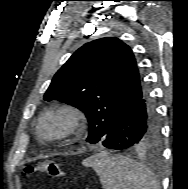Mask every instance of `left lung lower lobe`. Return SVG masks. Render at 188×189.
<instances>
[{"mask_svg": "<svg viewBox=\"0 0 188 189\" xmlns=\"http://www.w3.org/2000/svg\"><path fill=\"white\" fill-rule=\"evenodd\" d=\"M159 135V123L154 103L145 90L130 105L102 139L110 149L134 150L151 144Z\"/></svg>", "mask_w": 188, "mask_h": 189, "instance_id": "left-lung-lower-lobe-1", "label": "left lung lower lobe"}]
</instances>
